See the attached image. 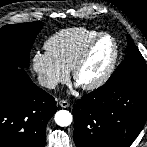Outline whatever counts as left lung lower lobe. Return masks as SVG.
I'll return each mask as SVG.
<instances>
[{
    "mask_svg": "<svg viewBox=\"0 0 147 147\" xmlns=\"http://www.w3.org/2000/svg\"><path fill=\"white\" fill-rule=\"evenodd\" d=\"M77 147H129L147 118V80L122 79L77 100L73 109Z\"/></svg>",
    "mask_w": 147,
    "mask_h": 147,
    "instance_id": "obj_1",
    "label": "left lung lower lobe"
}]
</instances>
